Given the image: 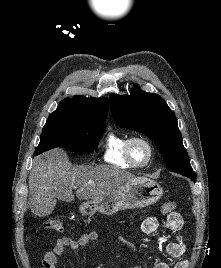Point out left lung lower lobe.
<instances>
[{
	"mask_svg": "<svg viewBox=\"0 0 221 268\" xmlns=\"http://www.w3.org/2000/svg\"><path fill=\"white\" fill-rule=\"evenodd\" d=\"M185 176L189 177L194 182L196 180V175H195L194 171L190 174H185Z\"/></svg>",
	"mask_w": 221,
	"mask_h": 268,
	"instance_id": "obj_1",
	"label": "left lung lower lobe"
}]
</instances>
